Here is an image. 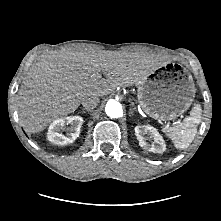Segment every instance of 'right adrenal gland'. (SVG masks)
Wrapping results in <instances>:
<instances>
[{
  "instance_id": "1",
  "label": "right adrenal gland",
  "mask_w": 221,
  "mask_h": 221,
  "mask_svg": "<svg viewBox=\"0 0 221 221\" xmlns=\"http://www.w3.org/2000/svg\"><path fill=\"white\" fill-rule=\"evenodd\" d=\"M82 111H83V112H85V111L91 112L92 110H88V109L83 108Z\"/></svg>"
}]
</instances>
